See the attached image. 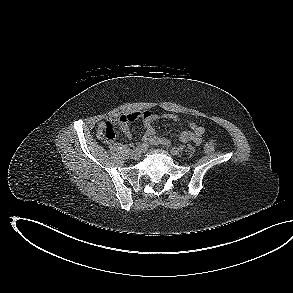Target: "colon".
Masks as SVG:
<instances>
[{
  "instance_id": "obj_1",
  "label": "colon",
  "mask_w": 293,
  "mask_h": 293,
  "mask_svg": "<svg viewBox=\"0 0 293 293\" xmlns=\"http://www.w3.org/2000/svg\"><path fill=\"white\" fill-rule=\"evenodd\" d=\"M127 125V121L121 118H110L104 122V127L102 131L99 133L100 139L103 141H110L115 136L116 128H124ZM207 153H210L214 150V146L210 143L206 144L204 147Z\"/></svg>"
}]
</instances>
